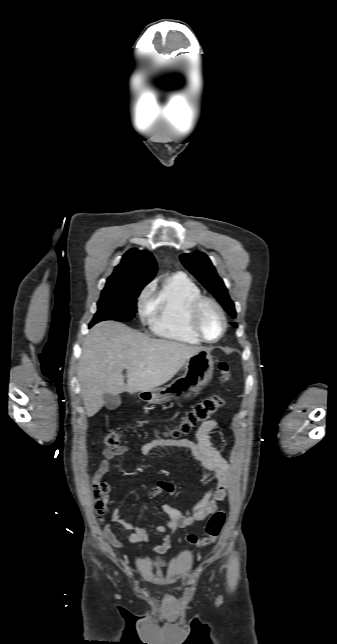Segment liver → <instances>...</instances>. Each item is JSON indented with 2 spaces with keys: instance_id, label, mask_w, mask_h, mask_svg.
<instances>
[{
  "instance_id": "6515ba94",
  "label": "liver",
  "mask_w": 337,
  "mask_h": 644,
  "mask_svg": "<svg viewBox=\"0 0 337 644\" xmlns=\"http://www.w3.org/2000/svg\"><path fill=\"white\" fill-rule=\"evenodd\" d=\"M202 349L150 338L115 321L96 324L83 342L78 368L87 416H94L103 407L105 393L153 391ZM123 369L127 371L126 384Z\"/></svg>"
}]
</instances>
